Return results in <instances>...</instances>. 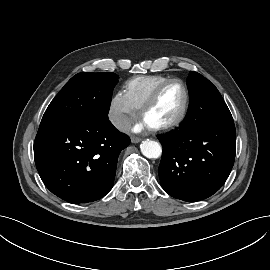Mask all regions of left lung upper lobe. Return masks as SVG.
<instances>
[{
	"instance_id": "left-lung-upper-lobe-1",
	"label": "left lung upper lobe",
	"mask_w": 270,
	"mask_h": 270,
	"mask_svg": "<svg viewBox=\"0 0 270 270\" xmlns=\"http://www.w3.org/2000/svg\"><path fill=\"white\" fill-rule=\"evenodd\" d=\"M189 106L198 123H233L232 115L217 88L205 77L191 71L187 79Z\"/></svg>"
}]
</instances>
